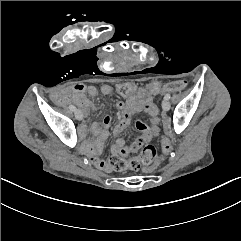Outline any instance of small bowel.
Returning a JSON list of instances; mask_svg holds the SVG:
<instances>
[{"label":"small bowel","mask_w":241,"mask_h":241,"mask_svg":"<svg viewBox=\"0 0 241 241\" xmlns=\"http://www.w3.org/2000/svg\"><path fill=\"white\" fill-rule=\"evenodd\" d=\"M99 92L102 93L104 96H111L113 94V87L109 84H104L98 89L93 85L77 84L71 88L59 91L56 94V97L62 103H67L73 100L82 108L85 113H87L91 109L92 105L88 100L84 99L82 95L88 94L94 97ZM155 96L156 95H152L149 92L145 95L136 94L133 99L126 100L125 103L122 101L116 103V107L119 110H124V112L119 122L114 126L112 130L113 135L119 136L129 126L132 113L143 110L150 116V120L149 123H146L143 120H137L135 122V128L139 131V135L134 138V140L130 144H127L125 140L120 137L117 138L110 149L112 155L125 157L137 151L143 145L158 136L160 131V118L158 107L153 102V98ZM110 125L111 118L109 116L103 118L102 127H100L98 124L92 125V132L97 137V139L95 140V147L92 153L89 155V158L96 167L103 170L109 169L108 162L99 159L96 152L102 147L103 143L106 141Z\"/></svg>","instance_id":"c3829d8e"}]
</instances>
